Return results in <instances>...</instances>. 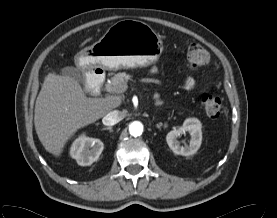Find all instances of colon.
<instances>
[{
	"mask_svg": "<svg viewBox=\"0 0 277 218\" xmlns=\"http://www.w3.org/2000/svg\"><path fill=\"white\" fill-rule=\"evenodd\" d=\"M209 56L207 51L198 44H192L187 51V62L193 67H201L208 62ZM202 105L211 118H217L222 111L223 102L222 99L212 93H203L201 95Z\"/></svg>",
	"mask_w": 277,
	"mask_h": 218,
	"instance_id": "5ec220e1",
	"label": "colon"
}]
</instances>
